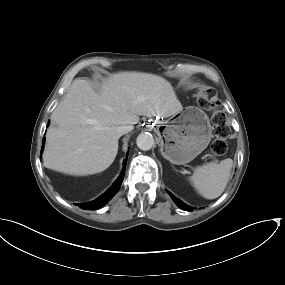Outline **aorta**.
Returning <instances> with one entry per match:
<instances>
[{
  "label": "aorta",
  "mask_w": 285,
  "mask_h": 285,
  "mask_svg": "<svg viewBox=\"0 0 285 285\" xmlns=\"http://www.w3.org/2000/svg\"><path fill=\"white\" fill-rule=\"evenodd\" d=\"M136 144L143 151L150 150L154 145V138L150 133L144 132L138 135Z\"/></svg>",
  "instance_id": "762f6f07"
}]
</instances>
